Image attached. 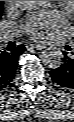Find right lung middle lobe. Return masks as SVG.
<instances>
[{"label": "right lung middle lobe", "instance_id": "dd1d6c3e", "mask_svg": "<svg viewBox=\"0 0 74 122\" xmlns=\"http://www.w3.org/2000/svg\"><path fill=\"white\" fill-rule=\"evenodd\" d=\"M2 6H3V1H0V18H1V15H2Z\"/></svg>", "mask_w": 74, "mask_h": 122}]
</instances>
